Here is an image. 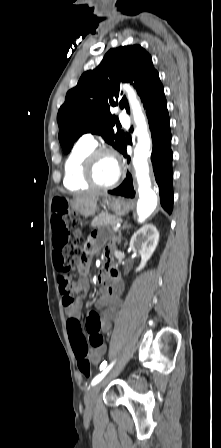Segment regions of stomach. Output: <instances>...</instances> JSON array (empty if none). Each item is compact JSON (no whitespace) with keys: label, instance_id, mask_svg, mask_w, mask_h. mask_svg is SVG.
I'll return each mask as SVG.
<instances>
[{"label":"stomach","instance_id":"0dacf381","mask_svg":"<svg viewBox=\"0 0 221 448\" xmlns=\"http://www.w3.org/2000/svg\"><path fill=\"white\" fill-rule=\"evenodd\" d=\"M98 200L99 198L88 203H74L73 208L77 213L83 215L84 217H89L91 215H94L97 209ZM102 205L107 206L111 211L115 213L116 216L125 215L132 208L129 201L123 198H114L107 194L103 196Z\"/></svg>","mask_w":221,"mask_h":448}]
</instances>
